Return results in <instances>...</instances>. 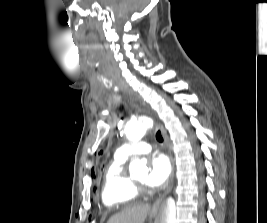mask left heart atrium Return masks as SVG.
I'll return each instance as SVG.
<instances>
[{
    "mask_svg": "<svg viewBox=\"0 0 267 223\" xmlns=\"http://www.w3.org/2000/svg\"><path fill=\"white\" fill-rule=\"evenodd\" d=\"M172 172L170 158L165 154H158L152 157L149 172L146 176V184L152 188L163 186L169 179Z\"/></svg>",
    "mask_w": 267,
    "mask_h": 223,
    "instance_id": "left-heart-atrium-1",
    "label": "left heart atrium"
}]
</instances>
